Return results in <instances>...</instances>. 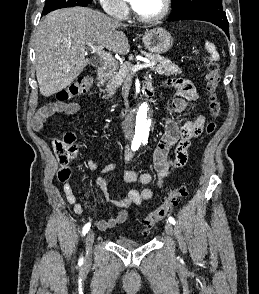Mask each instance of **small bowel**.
<instances>
[{
  "label": "small bowel",
  "mask_w": 259,
  "mask_h": 294,
  "mask_svg": "<svg viewBox=\"0 0 259 294\" xmlns=\"http://www.w3.org/2000/svg\"><path fill=\"white\" fill-rule=\"evenodd\" d=\"M167 88L176 90L180 98L174 100L169 107L166 108V117L164 121V134L159 140L153 155V165L156 171V182L159 188L163 187L166 178L175 170L182 168L188 159V149L192 139L198 137L204 130L205 117L198 115L195 119L190 120L179 126L174 120L173 115L180 113L192 106L198 97V93L194 85L187 80H167L163 83L152 87V94L158 98H162L163 91ZM80 109L76 102L55 101L40 108L31 121V127L34 131H41L47 119L55 114L74 115ZM176 145V153L173 159H170L169 152ZM134 156L132 148L124 151V160L129 163ZM90 170H96L97 164L89 159L87 161ZM115 163L108 164L101 168L100 175L96 180V187L108 201L117 208V214L114 217L101 219L96 222L99 230L105 231L119 224H123L128 219V208L132 205H140L145 201H149L154 197V191L147 187L153 181V176L144 172L138 174L135 170H126L123 179L127 184L140 182L144 187L141 190L130 189L121 199H113L107 191V174L116 170ZM63 190L67 201L73 205V209L77 214L83 212L82 205L77 198L69 183L63 184ZM87 204V202H86Z\"/></svg>",
  "instance_id": "c3829d8e"
}]
</instances>
